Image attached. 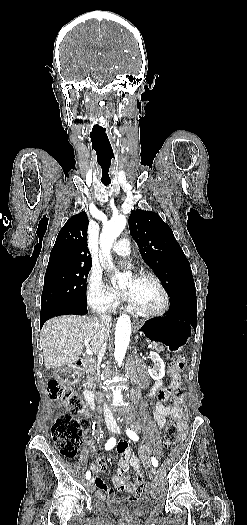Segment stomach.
<instances>
[{
  "label": "stomach",
  "mask_w": 247,
  "mask_h": 525,
  "mask_svg": "<svg viewBox=\"0 0 247 525\" xmlns=\"http://www.w3.org/2000/svg\"><path fill=\"white\" fill-rule=\"evenodd\" d=\"M137 328L149 341L161 344L170 351L181 350L191 333L190 326L185 322L160 316L141 321Z\"/></svg>",
  "instance_id": "1"
}]
</instances>
